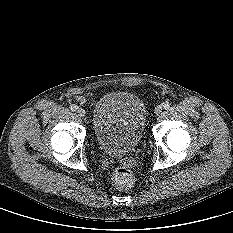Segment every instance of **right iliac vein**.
<instances>
[{"mask_svg":"<svg viewBox=\"0 0 233 233\" xmlns=\"http://www.w3.org/2000/svg\"><path fill=\"white\" fill-rule=\"evenodd\" d=\"M77 113H78V115H79L80 117H84V116L86 115L85 110L82 109V108H79V109L77 110Z\"/></svg>","mask_w":233,"mask_h":233,"instance_id":"right-iliac-vein-1","label":"right iliac vein"}]
</instances>
